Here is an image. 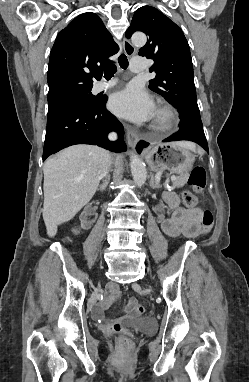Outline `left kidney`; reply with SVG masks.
Segmentation results:
<instances>
[{
    "label": "left kidney",
    "mask_w": 249,
    "mask_h": 382,
    "mask_svg": "<svg viewBox=\"0 0 249 382\" xmlns=\"http://www.w3.org/2000/svg\"><path fill=\"white\" fill-rule=\"evenodd\" d=\"M154 207L155 208H164L165 207V202L164 201H155L154 202Z\"/></svg>",
    "instance_id": "5707ae66"
}]
</instances>
